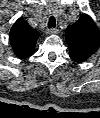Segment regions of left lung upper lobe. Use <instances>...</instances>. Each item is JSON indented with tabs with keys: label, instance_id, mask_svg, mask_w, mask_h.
I'll return each instance as SVG.
<instances>
[{
	"label": "left lung upper lobe",
	"instance_id": "obj_1",
	"mask_svg": "<svg viewBox=\"0 0 100 118\" xmlns=\"http://www.w3.org/2000/svg\"><path fill=\"white\" fill-rule=\"evenodd\" d=\"M69 55L75 62L86 61L100 45V33L90 16L82 14L75 24L66 30Z\"/></svg>",
	"mask_w": 100,
	"mask_h": 118
}]
</instances>
